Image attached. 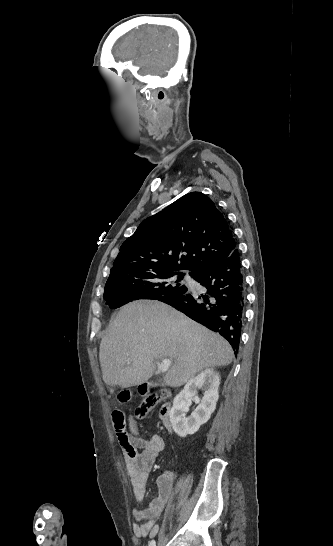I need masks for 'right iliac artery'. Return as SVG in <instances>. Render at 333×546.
Masks as SVG:
<instances>
[{
    "label": "right iliac artery",
    "mask_w": 333,
    "mask_h": 546,
    "mask_svg": "<svg viewBox=\"0 0 333 546\" xmlns=\"http://www.w3.org/2000/svg\"><path fill=\"white\" fill-rule=\"evenodd\" d=\"M148 546H156V542H155V540H152V541H150V543H149V545H148Z\"/></svg>",
    "instance_id": "right-iliac-artery-1"
}]
</instances>
